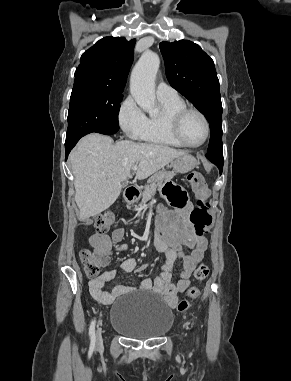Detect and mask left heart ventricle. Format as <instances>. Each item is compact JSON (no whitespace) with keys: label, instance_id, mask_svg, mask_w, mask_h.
I'll return each mask as SVG.
<instances>
[{"label":"left heart ventricle","instance_id":"1","mask_svg":"<svg viewBox=\"0 0 291 381\" xmlns=\"http://www.w3.org/2000/svg\"><path fill=\"white\" fill-rule=\"evenodd\" d=\"M181 133L187 142L200 143L205 135V125L201 117L195 113L187 114L181 123Z\"/></svg>","mask_w":291,"mask_h":381}]
</instances>
